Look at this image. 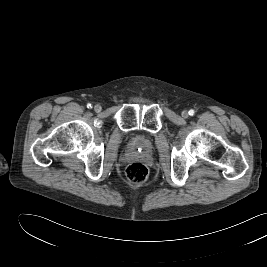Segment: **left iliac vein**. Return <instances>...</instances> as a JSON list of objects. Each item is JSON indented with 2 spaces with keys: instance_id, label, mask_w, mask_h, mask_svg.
Returning <instances> with one entry per match:
<instances>
[{
  "instance_id": "1",
  "label": "left iliac vein",
  "mask_w": 267,
  "mask_h": 267,
  "mask_svg": "<svg viewBox=\"0 0 267 267\" xmlns=\"http://www.w3.org/2000/svg\"><path fill=\"white\" fill-rule=\"evenodd\" d=\"M181 115H182L183 118H187L189 116V113H188L187 110H183Z\"/></svg>"
}]
</instances>
